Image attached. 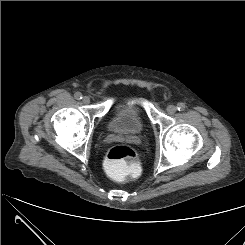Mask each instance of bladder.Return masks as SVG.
<instances>
[{
    "label": "bladder",
    "instance_id": "bladder-1",
    "mask_svg": "<svg viewBox=\"0 0 245 245\" xmlns=\"http://www.w3.org/2000/svg\"><path fill=\"white\" fill-rule=\"evenodd\" d=\"M144 127V121L132 104H124L114 114L108 123V128L113 132L138 133Z\"/></svg>",
    "mask_w": 245,
    "mask_h": 245
}]
</instances>
